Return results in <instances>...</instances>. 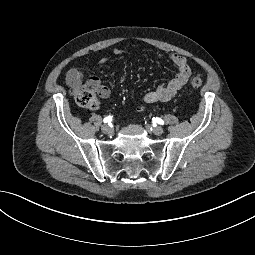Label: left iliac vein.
Returning <instances> with one entry per match:
<instances>
[{
    "instance_id": "left-iliac-vein-1",
    "label": "left iliac vein",
    "mask_w": 255,
    "mask_h": 255,
    "mask_svg": "<svg viewBox=\"0 0 255 255\" xmlns=\"http://www.w3.org/2000/svg\"><path fill=\"white\" fill-rule=\"evenodd\" d=\"M147 128L150 129L155 135H161L164 131L161 126H157L154 128H150V126H147Z\"/></svg>"
}]
</instances>
